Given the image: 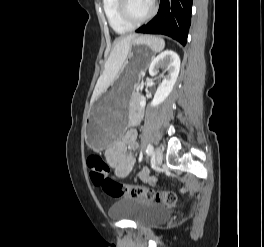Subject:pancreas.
I'll return each mask as SVG.
<instances>
[{
	"instance_id": "pancreas-1",
	"label": "pancreas",
	"mask_w": 264,
	"mask_h": 247,
	"mask_svg": "<svg viewBox=\"0 0 264 247\" xmlns=\"http://www.w3.org/2000/svg\"><path fill=\"white\" fill-rule=\"evenodd\" d=\"M138 91H139V87L137 88V91H136V93L134 94V98H135V101H136V102H137L138 99H139V93H138Z\"/></svg>"
}]
</instances>
